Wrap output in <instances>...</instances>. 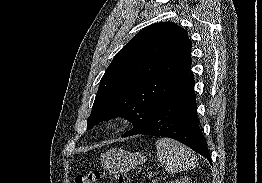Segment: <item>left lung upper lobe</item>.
Masks as SVG:
<instances>
[{"label":"left lung upper lobe","mask_w":262,"mask_h":183,"mask_svg":"<svg viewBox=\"0 0 262 183\" xmlns=\"http://www.w3.org/2000/svg\"><path fill=\"white\" fill-rule=\"evenodd\" d=\"M191 48L187 31L172 22L152 24L138 32L106 69L87 128L123 117L134 127L122 137L143 130L190 72Z\"/></svg>","instance_id":"5c2ea615"}]
</instances>
